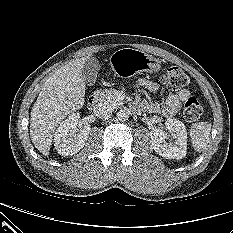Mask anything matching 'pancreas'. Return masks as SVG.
<instances>
[{
  "instance_id": "cf45deb5",
  "label": "pancreas",
  "mask_w": 233,
  "mask_h": 233,
  "mask_svg": "<svg viewBox=\"0 0 233 233\" xmlns=\"http://www.w3.org/2000/svg\"><path fill=\"white\" fill-rule=\"evenodd\" d=\"M96 94L99 96V100L112 107H117L123 104V101L117 98L118 91L112 89H100L97 90Z\"/></svg>"
}]
</instances>
